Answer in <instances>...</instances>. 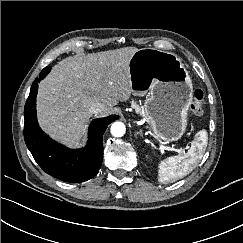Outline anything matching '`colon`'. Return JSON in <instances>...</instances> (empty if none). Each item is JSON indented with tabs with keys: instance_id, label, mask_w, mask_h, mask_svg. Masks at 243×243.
Wrapping results in <instances>:
<instances>
[{
	"instance_id": "5ec220e1",
	"label": "colon",
	"mask_w": 243,
	"mask_h": 243,
	"mask_svg": "<svg viewBox=\"0 0 243 243\" xmlns=\"http://www.w3.org/2000/svg\"><path fill=\"white\" fill-rule=\"evenodd\" d=\"M204 93L201 89H195L193 92V100L189 107V113L191 115H199L203 111L204 107Z\"/></svg>"
}]
</instances>
